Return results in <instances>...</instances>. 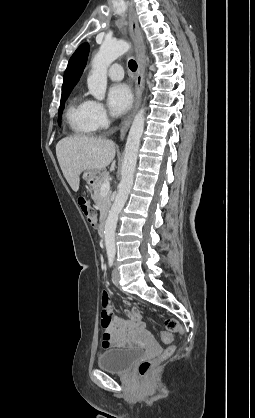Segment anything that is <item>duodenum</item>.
Here are the masks:
<instances>
[{"label":"duodenum","mask_w":255,"mask_h":418,"mask_svg":"<svg viewBox=\"0 0 255 418\" xmlns=\"http://www.w3.org/2000/svg\"><path fill=\"white\" fill-rule=\"evenodd\" d=\"M106 224H107V213H104L99 221L98 228H97L98 235L102 238L105 236V233H106Z\"/></svg>","instance_id":"1"}]
</instances>
